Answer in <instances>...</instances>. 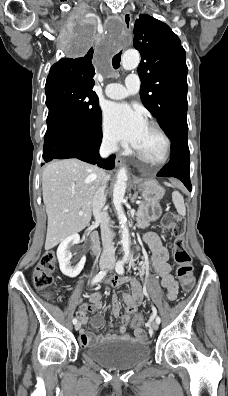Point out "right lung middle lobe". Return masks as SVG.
<instances>
[{"label":"right lung middle lobe","instance_id":"obj_1","mask_svg":"<svg viewBox=\"0 0 228 396\" xmlns=\"http://www.w3.org/2000/svg\"><path fill=\"white\" fill-rule=\"evenodd\" d=\"M93 42L92 32L81 28L72 51L82 54ZM45 92L49 109L47 131L66 128L84 136L101 125L99 99L92 88L74 80L55 79L46 81Z\"/></svg>","mask_w":228,"mask_h":396}]
</instances>
